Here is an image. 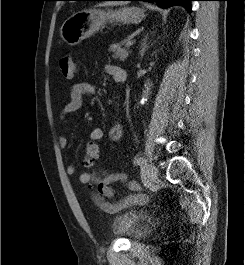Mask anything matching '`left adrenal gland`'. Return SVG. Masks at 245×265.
Wrapping results in <instances>:
<instances>
[{
	"label": "left adrenal gland",
	"mask_w": 245,
	"mask_h": 265,
	"mask_svg": "<svg viewBox=\"0 0 245 265\" xmlns=\"http://www.w3.org/2000/svg\"><path fill=\"white\" fill-rule=\"evenodd\" d=\"M147 40H148V35L145 36V38L142 40L141 43V50H140V57L142 58L145 54V51L149 48L148 44H147Z\"/></svg>",
	"instance_id": "1"
}]
</instances>
